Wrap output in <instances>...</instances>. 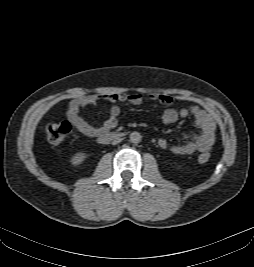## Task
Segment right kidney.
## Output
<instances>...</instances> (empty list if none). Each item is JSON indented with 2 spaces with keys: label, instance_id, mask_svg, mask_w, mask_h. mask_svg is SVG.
Wrapping results in <instances>:
<instances>
[{
  "label": "right kidney",
  "instance_id": "1",
  "mask_svg": "<svg viewBox=\"0 0 254 267\" xmlns=\"http://www.w3.org/2000/svg\"><path fill=\"white\" fill-rule=\"evenodd\" d=\"M87 158V154L84 152H78L71 158L72 165H79Z\"/></svg>",
  "mask_w": 254,
  "mask_h": 267
}]
</instances>
